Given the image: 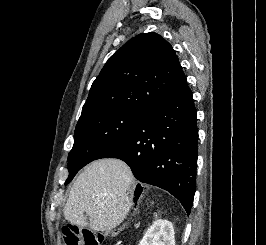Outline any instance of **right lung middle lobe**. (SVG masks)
Wrapping results in <instances>:
<instances>
[{
	"mask_svg": "<svg viewBox=\"0 0 266 245\" xmlns=\"http://www.w3.org/2000/svg\"><path fill=\"white\" fill-rule=\"evenodd\" d=\"M145 112L105 109L81 117L74 133V145L68 156V184L86 164L119 143Z\"/></svg>",
	"mask_w": 266,
	"mask_h": 245,
	"instance_id": "obj_1",
	"label": "right lung middle lobe"
}]
</instances>
